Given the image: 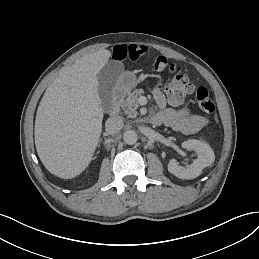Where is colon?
<instances>
[{
	"instance_id": "colon-1",
	"label": "colon",
	"mask_w": 259,
	"mask_h": 259,
	"mask_svg": "<svg viewBox=\"0 0 259 259\" xmlns=\"http://www.w3.org/2000/svg\"><path fill=\"white\" fill-rule=\"evenodd\" d=\"M154 69L156 71L168 70L173 74V78L166 85L171 102L180 103L184 97L194 93L195 100L203 111L207 113L214 111V101L208 89L202 85L194 86L188 75L177 66L169 63L165 57H158L154 61Z\"/></svg>"
}]
</instances>
